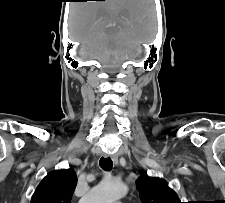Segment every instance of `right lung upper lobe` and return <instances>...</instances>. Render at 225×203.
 Wrapping results in <instances>:
<instances>
[{
  "mask_svg": "<svg viewBox=\"0 0 225 203\" xmlns=\"http://www.w3.org/2000/svg\"><path fill=\"white\" fill-rule=\"evenodd\" d=\"M76 185L72 168L50 172L37 187L31 203H70Z\"/></svg>",
  "mask_w": 225,
  "mask_h": 203,
  "instance_id": "right-lung-upper-lobe-1",
  "label": "right lung upper lobe"
}]
</instances>
